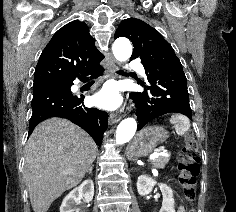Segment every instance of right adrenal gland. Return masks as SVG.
<instances>
[{
    "label": "right adrenal gland",
    "instance_id": "1",
    "mask_svg": "<svg viewBox=\"0 0 236 212\" xmlns=\"http://www.w3.org/2000/svg\"><path fill=\"white\" fill-rule=\"evenodd\" d=\"M93 167H94V165L91 164V166L89 167V169L87 170L86 173H88V174H92Z\"/></svg>",
    "mask_w": 236,
    "mask_h": 212
}]
</instances>
